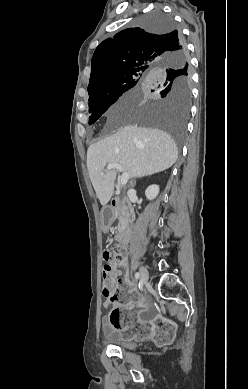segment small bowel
Here are the masks:
<instances>
[{
	"label": "small bowel",
	"instance_id": "c3829d8e",
	"mask_svg": "<svg viewBox=\"0 0 248 389\" xmlns=\"http://www.w3.org/2000/svg\"><path fill=\"white\" fill-rule=\"evenodd\" d=\"M112 305H114V306H116L117 305V303L116 302H112V301H110V300H105L104 302H103V307L104 308H109L110 306H112ZM142 306H147V303H145V302H142L141 303V307ZM115 309V308H114ZM113 309V310H114ZM112 310V311H113ZM145 313H146V316L144 317V318H141L140 317V320L141 321H143V322H146L148 319H149V317H150V313L148 312V310L146 309L145 311H144ZM112 325L110 324V321H109V316H105L104 318H103V328H104V330H109L110 329V327H111Z\"/></svg>",
	"mask_w": 248,
	"mask_h": 389
}]
</instances>
